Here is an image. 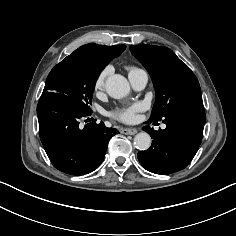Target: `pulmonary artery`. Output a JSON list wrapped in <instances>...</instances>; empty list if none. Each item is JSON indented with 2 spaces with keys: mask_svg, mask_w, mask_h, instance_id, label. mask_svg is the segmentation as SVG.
<instances>
[{
  "mask_svg": "<svg viewBox=\"0 0 236 236\" xmlns=\"http://www.w3.org/2000/svg\"><path fill=\"white\" fill-rule=\"evenodd\" d=\"M129 80L136 90L145 88L148 82V74L145 70L139 69L129 74ZM165 128V125H162Z\"/></svg>",
  "mask_w": 236,
  "mask_h": 236,
  "instance_id": "1",
  "label": "pulmonary artery"
}]
</instances>
